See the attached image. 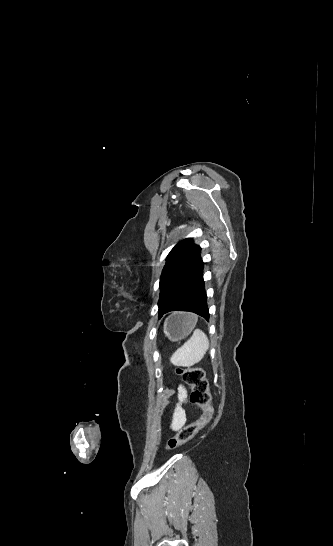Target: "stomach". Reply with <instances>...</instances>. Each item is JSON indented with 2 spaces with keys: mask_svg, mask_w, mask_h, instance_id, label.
<instances>
[{
  "mask_svg": "<svg viewBox=\"0 0 333 546\" xmlns=\"http://www.w3.org/2000/svg\"><path fill=\"white\" fill-rule=\"evenodd\" d=\"M197 320L191 314L176 313L165 320L164 333L170 341L187 337L194 329Z\"/></svg>",
  "mask_w": 333,
  "mask_h": 546,
  "instance_id": "stomach-1",
  "label": "stomach"
}]
</instances>
